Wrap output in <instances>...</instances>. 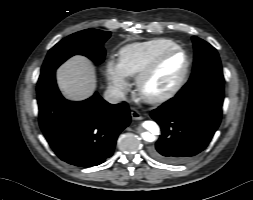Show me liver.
Segmentation results:
<instances>
[{
  "label": "liver",
  "mask_w": 253,
  "mask_h": 200,
  "mask_svg": "<svg viewBox=\"0 0 253 200\" xmlns=\"http://www.w3.org/2000/svg\"><path fill=\"white\" fill-rule=\"evenodd\" d=\"M57 82L63 95L70 100L89 97L96 87L95 70L84 56H74L57 70Z\"/></svg>",
  "instance_id": "6515ba94"
}]
</instances>
